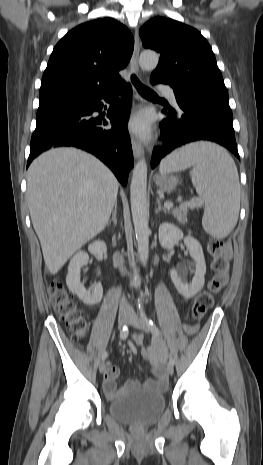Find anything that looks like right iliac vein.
<instances>
[{"mask_svg": "<svg viewBox=\"0 0 263 465\" xmlns=\"http://www.w3.org/2000/svg\"><path fill=\"white\" fill-rule=\"evenodd\" d=\"M128 320V311L127 310H121L118 315V326L119 328H122ZM106 369V364L104 361H102L99 365V372L102 374L104 373Z\"/></svg>", "mask_w": 263, "mask_h": 465, "instance_id": "63e3f726", "label": "right iliac vein"}]
</instances>
